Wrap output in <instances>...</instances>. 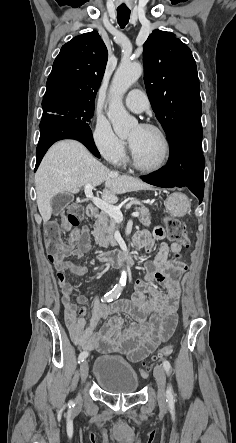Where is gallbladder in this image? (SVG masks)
<instances>
[{
    "instance_id": "bac80fb5",
    "label": "gallbladder",
    "mask_w": 236,
    "mask_h": 443,
    "mask_svg": "<svg viewBox=\"0 0 236 443\" xmlns=\"http://www.w3.org/2000/svg\"><path fill=\"white\" fill-rule=\"evenodd\" d=\"M74 200L71 193L63 192L55 195L51 200L52 213L58 215L61 211Z\"/></svg>"
}]
</instances>
